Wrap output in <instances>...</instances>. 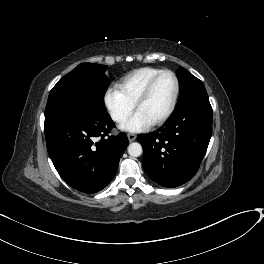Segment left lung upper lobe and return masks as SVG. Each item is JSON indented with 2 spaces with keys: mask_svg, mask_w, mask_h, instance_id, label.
<instances>
[{
  "mask_svg": "<svg viewBox=\"0 0 264 264\" xmlns=\"http://www.w3.org/2000/svg\"><path fill=\"white\" fill-rule=\"evenodd\" d=\"M180 94L175 109L190 99L208 96L204 84L184 68L177 72Z\"/></svg>",
  "mask_w": 264,
  "mask_h": 264,
  "instance_id": "obj_1",
  "label": "left lung upper lobe"
}]
</instances>
